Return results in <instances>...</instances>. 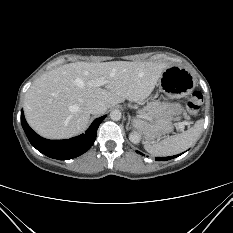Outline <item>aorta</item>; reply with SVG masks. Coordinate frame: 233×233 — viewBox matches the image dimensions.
Listing matches in <instances>:
<instances>
[{
    "label": "aorta",
    "instance_id": "1",
    "mask_svg": "<svg viewBox=\"0 0 233 233\" xmlns=\"http://www.w3.org/2000/svg\"><path fill=\"white\" fill-rule=\"evenodd\" d=\"M122 117V113L120 110L118 109H114L110 112V118L113 120V121H119Z\"/></svg>",
    "mask_w": 233,
    "mask_h": 233
}]
</instances>
